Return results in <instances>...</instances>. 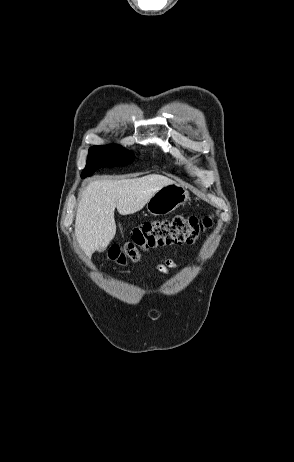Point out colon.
<instances>
[{
    "instance_id": "1",
    "label": "colon",
    "mask_w": 294,
    "mask_h": 462,
    "mask_svg": "<svg viewBox=\"0 0 294 462\" xmlns=\"http://www.w3.org/2000/svg\"><path fill=\"white\" fill-rule=\"evenodd\" d=\"M211 225L210 217L182 215L146 222L133 229L130 240L123 246H111L108 256L119 265H126L129 261L136 262L141 251L167 245L194 244Z\"/></svg>"
}]
</instances>
